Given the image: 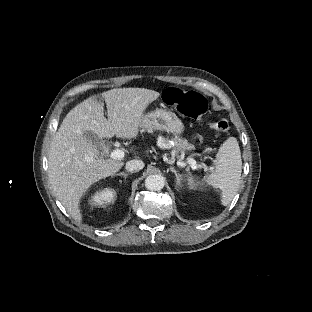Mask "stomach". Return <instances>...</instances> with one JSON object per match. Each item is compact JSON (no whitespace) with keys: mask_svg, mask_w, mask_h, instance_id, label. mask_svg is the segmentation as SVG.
<instances>
[{"mask_svg":"<svg viewBox=\"0 0 312 312\" xmlns=\"http://www.w3.org/2000/svg\"><path fill=\"white\" fill-rule=\"evenodd\" d=\"M140 127L146 130L166 131L175 135L184 131V125L176 114L165 109H156L145 114Z\"/></svg>","mask_w":312,"mask_h":312,"instance_id":"1","label":"stomach"}]
</instances>
